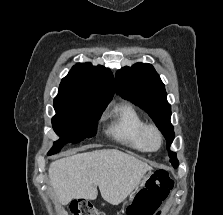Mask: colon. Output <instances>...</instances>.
Instances as JSON below:
<instances>
[{
  "label": "colon",
  "instance_id": "obj_1",
  "mask_svg": "<svg viewBox=\"0 0 223 215\" xmlns=\"http://www.w3.org/2000/svg\"><path fill=\"white\" fill-rule=\"evenodd\" d=\"M173 187V181L165 170L156 171L148 180L146 187L135 197L127 209L128 215H154L162 201ZM71 215H105L92 204L76 201L70 205Z\"/></svg>",
  "mask_w": 223,
  "mask_h": 215
}]
</instances>
